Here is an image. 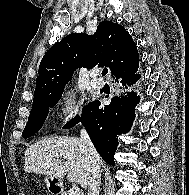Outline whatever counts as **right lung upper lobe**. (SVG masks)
<instances>
[{
	"label": "right lung upper lobe",
	"mask_w": 189,
	"mask_h": 195,
	"mask_svg": "<svg viewBox=\"0 0 189 195\" xmlns=\"http://www.w3.org/2000/svg\"><path fill=\"white\" fill-rule=\"evenodd\" d=\"M131 35L117 23L101 22L94 35L72 33L53 45L41 60L33 103L63 92L79 67H109L116 78L138 68Z\"/></svg>",
	"instance_id": "obj_1"
}]
</instances>
